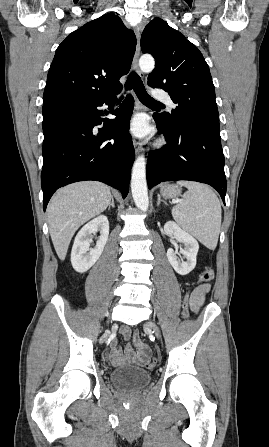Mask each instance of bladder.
<instances>
[{"mask_svg":"<svg viewBox=\"0 0 269 447\" xmlns=\"http://www.w3.org/2000/svg\"><path fill=\"white\" fill-rule=\"evenodd\" d=\"M152 374L144 368L123 366L109 372V379L114 387L121 391L138 392L149 385Z\"/></svg>","mask_w":269,"mask_h":447,"instance_id":"1","label":"bladder"}]
</instances>
